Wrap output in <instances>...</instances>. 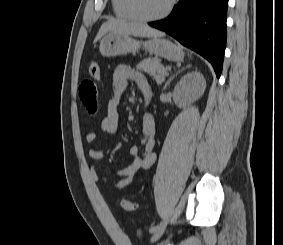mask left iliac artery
<instances>
[{
    "mask_svg": "<svg viewBox=\"0 0 283 245\" xmlns=\"http://www.w3.org/2000/svg\"><path fill=\"white\" fill-rule=\"evenodd\" d=\"M164 224H165V222H161V223L158 224V225L152 226V227L150 228V230H149L150 233H156V232H158L160 229L163 228Z\"/></svg>",
    "mask_w": 283,
    "mask_h": 245,
    "instance_id": "obj_1",
    "label": "left iliac artery"
}]
</instances>
